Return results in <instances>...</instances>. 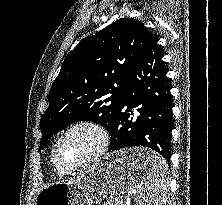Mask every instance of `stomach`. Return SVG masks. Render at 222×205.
<instances>
[{"instance_id":"1","label":"stomach","mask_w":222,"mask_h":205,"mask_svg":"<svg viewBox=\"0 0 222 205\" xmlns=\"http://www.w3.org/2000/svg\"><path fill=\"white\" fill-rule=\"evenodd\" d=\"M153 154L146 148L109 154L76 177L44 187L37 195L36 205H92L107 195H125L143 184L146 157Z\"/></svg>"}]
</instances>
